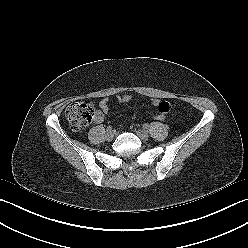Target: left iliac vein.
<instances>
[{
    "label": "left iliac vein",
    "mask_w": 248,
    "mask_h": 248,
    "mask_svg": "<svg viewBox=\"0 0 248 248\" xmlns=\"http://www.w3.org/2000/svg\"><path fill=\"white\" fill-rule=\"evenodd\" d=\"M137 136L142 139V140H148L149 139V134L144 131V130H137L136 131Z\"/></svg>",
    "instance_id": "left-iliac-vein-1"
}]
</instances>
